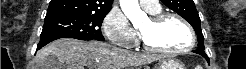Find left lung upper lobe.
Instances as JSON below:
<instances>
[{"label":"left lung upper lobe","instance_id":"left-lung-upper-lobe-1","mask_svg":"<svg viewBox=\"0 0 246 69\" xmlns=\"http://www.w3.org/2000/svg\"><path fill=\"white\" fill-rule=\"evenodd\" d=\"M168 8L178 13L189 22L196 31L198 50H204V37L200 26V18L193 0H161Z\"/></svg>","mask_w":246,"mask_h":69}]
</instances>
